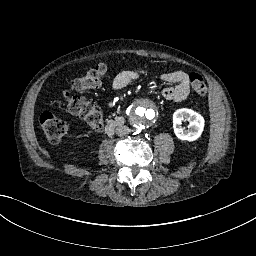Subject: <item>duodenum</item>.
<instances>
[{
  "label": "duodenum",
  "instance_id": "1",
  "mask_svg": "<svg viewBox=\"0 0 256 256\" xmlns=\"http://www.w3.org/2000/svg\"><path fill=\"white\" fill-rule=\"evenodd\" d=\"M126 121L122 117H116L107 122L104 126V133L111 135L117 127L125 125Z\"/></svg>",
  "mask_w": 256,
  "mask_h": 256
}]
</instances>
